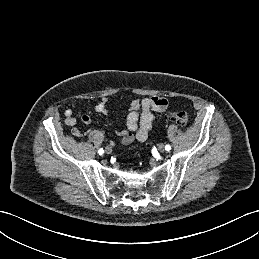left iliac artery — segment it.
Returning a JSON list of instances; mask_svg holds the SVG:
<instances>
[{
	"instance_id": "obj_1",
	"label": "left iliac artery",
	"mask_w": 259,
	"mask_h": 259,
	"mask_svg": "<svg viewBox=\"0 0 259 259\" xmlns=\"http://www.w3.org/2000/svg\"><path fill=\"white\" fill-rule=\"evenodd\" d=\"M165 150H166V151H170V150H171V146H170L169 144H167V145L165 146Z\"/></svg>"
}]
</instances>
